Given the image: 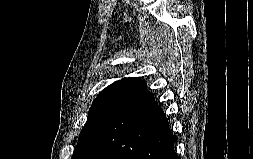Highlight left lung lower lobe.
Instances as JSON below:
<instances>
[{
    "label": "left lung lower lobe",
    "instance_id": "0a47b994",
    "mask_svg": "<svg viewBox=\"0 0 253 159\" xmlns=\"http://www.w3.org/2000/svg\"><path fill=\"white\" fill-rule=\"evenodd\" d=\"M175 141L162 109L146 91L107 125L88 159H180Z\"/></svg>",
    "mask_w": 253,
    "mask_h": 159
}]
</instances>
